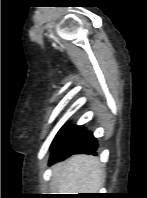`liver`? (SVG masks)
I'll return each mask as SVG.
<instances>
[{
  "instance_id": "6515ba94",
  "label": "liver",
  "mask_w": 147,
  "mask_h": 198,
  "mask_svg": "<svg viewBox=\"0 0 147 198\" xmlns=\"http://www.w3.org/2000/svg\"><path fill=\"white\" fill-rule=\"evenodd\" d=\"M52 178L58 194L97 193L105 174L96 157L75 155L55 164Z\"/></svg>"
}]
</instances>
